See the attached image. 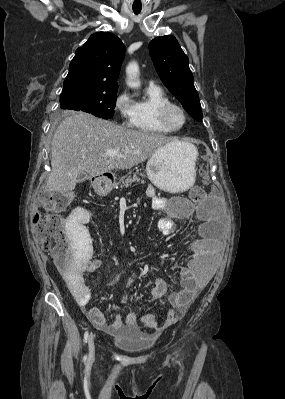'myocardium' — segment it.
Wrapping results in <instances>:
<instances>
[{
  "mask_svg": "<svg viewBox=\"0 0 285 399\" xmlns=\"http://www.w3.org/2000/svg\"><path fill=\"white\" fill-rule=\"evenodd\" d=\"M173 110H177L181 116H182V123L180 125H176L172 122L171 120V113ZM158 118L160 123L166 127L167 129L177 131L180 130L186 123L187 120V115L185 110L179 106L178 104H175L173 102H168L163 104L159 109H158Z\"/></svg>",
  "mask_w": 285,
  "mask_h": 399,
  "instance_id": "1",
  "label": "myocardium"
}]
</instances>
